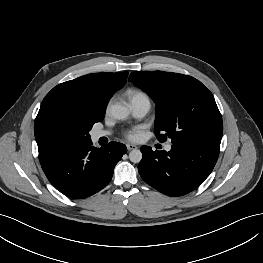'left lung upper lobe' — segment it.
I'll return each instance as SVG.
<instances>
[{
    "mask_svg": "<svg viewBox=\"0 0 263 263\" xmlns=\"http://www.w3.org/2000/svg\"><path fill=\"white\" fill-rule=\"evenodd\" d=\"M129 81L156 103L155 134L176 143H220L222 117L212 93L197 79L163 71H134Z\"/></svg>",
    "mask_w": 263,
    "mask_h": 263,
    "instance_id": "1",
    "label": "left lung upper lobe"
}]
</instances>
